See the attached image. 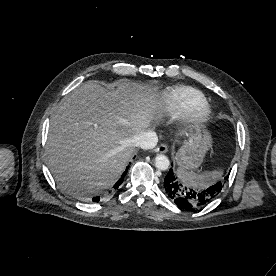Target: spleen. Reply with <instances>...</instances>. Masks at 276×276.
<instances>
[{
    "label": "spleen",
    "instance_id": "spleen-1",
    "mask_svg": "<svg viewBox=\"0 0 276 276\" xmlns=\"http://www.w3.org/2000/svg\"><path fill=\"white\" fill-rule=\"evenodd\" d=\"M179 178L188 186L200 188L208 187L219 180L223 174L221 170L206 171L203 173L188 172L183 169L177 171Z\"/></svg>",
    "mask_w": 276,
    "mask_h": 276
}]
</instances>
